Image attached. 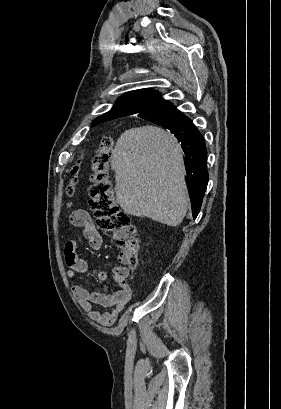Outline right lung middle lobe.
Listing matches in <instances>:
<instances>
[{"instance_id":"dd1d6c3e","label":"right lung middle lobe","mask_w":281,"mask_h":409,"mask_svg":"<svg viewBox=\"0 0 281 409\" xmlns=\"http://www.w3.org/2000/svg\"><path fill=\"white\" fill-rule=\"evenodd\" d=\"M178 120H179V117L165 116V117L153 118V119H150L149 121L166 128L167 126L177 122Z\"/></svg>"}]
</instances>
